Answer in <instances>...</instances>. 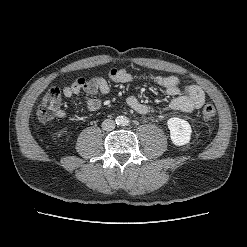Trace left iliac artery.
I'll use <instances>...</instances> for the list:
<instances>
[{
    "instance_id": "44dca946",
    "label": "left iliac artery",
    "mask_w": 247,
    "mask_h": 247,
    "mask_svg": "<svg viewBox=\"0 0 247 247\" xmlns=\"http://www.w3.org/2000/svg\"><path fill=\"white\" fill-rule=\"evenodd\" d=\"M128 124H129V120H128V119H124L123 125H124V126H127Z\"/></svg>"
}]
</instances>
